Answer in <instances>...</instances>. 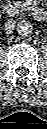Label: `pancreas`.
<instances>
[{
  "instance_id": "cf45deb5",
  "label": "pancreas",
  "mask_w": 47,
  "mask_h": 129,
  "mask_svg": "<svg viewBox=\"0 0 47 129\" xmlns=\"http://www.w3.org/2000/svg\"><path fill=\"white\" fill-rule=\"evenodd\" d=\"M30 1H33V0H30ZM29 5H30L29 0L15 2V6L20 10H27Z\"/></svg>"
}]
</instances>
